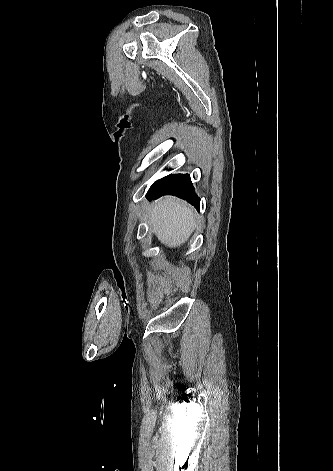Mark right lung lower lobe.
Returning <instances> with one entry per match:
<instances>
[{
  "label": "right lung lower lobe",
  "instance_id": "98d812e1",
  "mask_svg": "<svg viewBox=\"0 0 333 471\" xmlns=\"http://www.w3.org/2000/svg\"><path fill=\"white\" fill-rule=\"evenodd\" d=\"M163 195H174L195 206L199 211L200 198L195 194L188 174H176L155 182L147 193V199H157Z\"/></svg>",
  "mask_w": 333,
  "mask_h": 471
}]
</instances>
